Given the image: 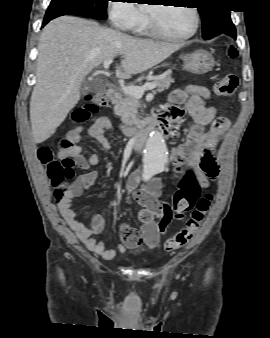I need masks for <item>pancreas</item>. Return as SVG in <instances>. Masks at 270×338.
<instances>
[{
  "label": "pancreas",
  "instance_id": "obj_1",
  "mask_svg": "<svg viewBox=\"0 0 270 338\" xmlns=\"http://www.w3.org/2000/svg\"><path fill=\"white\" fill-rule=\"evenodd\" d=\"M157 81V92H162L168 89L171 83L174 82L171 75L159 76L156 78ZM142 107L141 102L138 98L123 93L120 95V100L116 102L115 111L118 116L121 117L123 126L121 127L124 132L134 130L133 126L140 124L138 110Z\"/></svg>",
  "mask_w": 270,
  "mask_h": 338
}]
</instances>
